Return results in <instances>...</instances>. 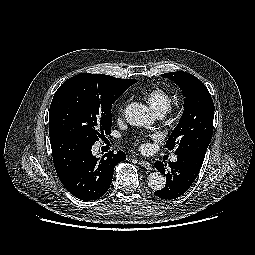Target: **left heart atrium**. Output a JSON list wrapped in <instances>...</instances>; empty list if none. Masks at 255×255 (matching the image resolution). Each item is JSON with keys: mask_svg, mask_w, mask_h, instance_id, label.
<instances>
[{"mask_svg": "<svg viewBox=\"0 0 255 255\" xmlns=\"http://www.w3.org/2000/svg\"><path fill=\"white\" fill-rule=\"evenodd\" d=\"M141 147H142L143 149H146V148H147V144H146L145 142H143V143L141 144Z\"/></svg>", "mask_w": 255, "mask_h": 255, "instance_id": "left-heart-atrium-1", "label": "left heart atrium"}]
</instances>
